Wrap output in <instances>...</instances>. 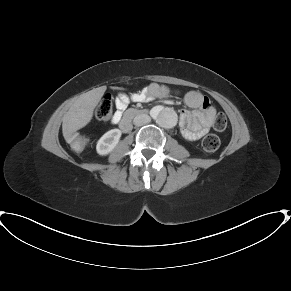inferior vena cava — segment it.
<instances>
[{
	"label": "inferior vena cava",
	"instance_id": "1",
	"mask_svg": "<svg viewBox=\"0 0 291 291\" xmlns=\"http://www.w3.org/2000/svg\"><path fill=\"white\" fill-rule=\"evenodd\" d=\"M150 121H151V118H150L149 115H147V114H138L134 118L133 123L136 126H143V125L149 123Z\"/></svg>",
	"mask_w": 291,
	"mask_h": 291
}]
</instances>
